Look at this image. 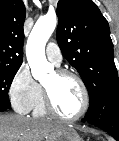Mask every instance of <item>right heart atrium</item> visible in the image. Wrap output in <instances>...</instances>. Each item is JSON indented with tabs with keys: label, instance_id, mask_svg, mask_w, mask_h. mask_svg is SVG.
Wrapping results in <instances>:
<instances>
[{
	"label": "right heart atrium",
	"instance_id": "1",
	"mask_svg": "<svg viewBox=\"0 0 119 141\" xmlns=\"http://www.w3.org/2000/svg\"><path fill=\"white\" fill-rule=\"evenodd\" d=\"M41 93L40 85L34 80L29 68L21 65L13 76L9 97L13 107L20 113L30 112Z\"/></svg>",
	"mask_w": 119,
	"mask_h": 141
}]
</instances>
